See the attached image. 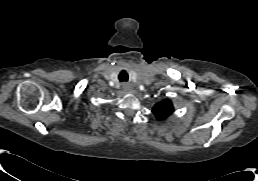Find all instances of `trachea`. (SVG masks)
I'll list each match as a JSON object with an SVG mask.
<instances>
[{
    "instance_id": "1",
    "label": "trachea",
    "mask_w": 258,
    "mask_h": 181,
    "mask_svg": "<svg viewBox=\"0 0 258 181\" xmlns=\"http://www.w3.org/2000/svg\"><path fill=\"white\" fill-rule=\"evenodd\" d=\"M123 73H124V72H123ZM123 73H121V75H122ZM121 75H120V80H121V81H125L126 79H122V78H121Z\"/></svg>"
}]
</instances>
